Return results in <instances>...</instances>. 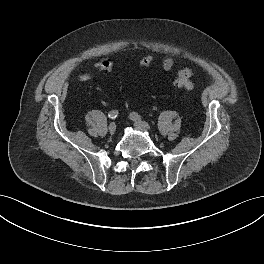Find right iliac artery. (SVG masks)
Returning <instances> with one entry per match:
<instances>
[{"label":"right iliac artery","mask_w":264,"mask_h":264,"mask_svg":"<svg viewBox=\"0 0 264 264\" xmlns=\"http://www.w3.org/2000/svg\"><path fill=\"white\" fill-rule=\"evenodd\" d=\"M118 111L117 110H112L109 112L108 117L111 119H115L118 116Z\"/></svg>","instance_id":"82829eb1"}]
</instances>
